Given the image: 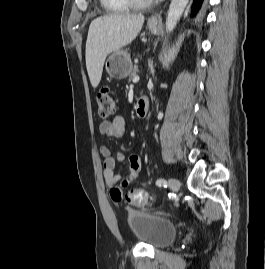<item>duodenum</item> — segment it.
<instances>
[{
    "mask_svg": "<svg viewBox=\"0 0 265 269\" xmlns=\"http://www.w3.org/2000/svg\"><path fill=\"white\" fill-rule=\"evenodd\" d=\"M149 111V100L147 97L142 96L138 98L136 103V115L138 118H143Z\"/></svg>",
    "mask_w": 265,
    "mask_h": 269,
    "instance_id": "obj_1",
    "label": "duodenum"
}]
</instances>
